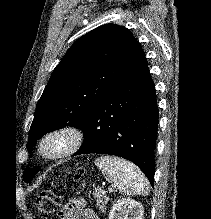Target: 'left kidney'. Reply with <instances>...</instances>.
<instances>
[{"mask_svg": "<svg viewBox=\"0 0 211 219\" xmlns=\"http://www.w3.org/2000/svg\"><path fill=\"white\" fill-rule=\"evenodd\" d=\"M143 208L131 198H123L113 204L109 219H143Z\"/></svg>", "mask_w": 211, "mask_h": 219, "instance_id": "5707ae66", "label": "left kidney"}]
</instances>
